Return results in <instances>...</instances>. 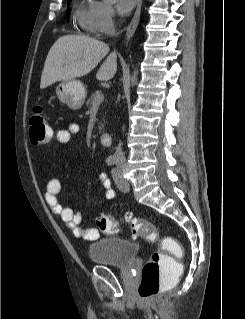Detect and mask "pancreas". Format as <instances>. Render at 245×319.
Instances as JSON below:
<instances>
[{
    "label": "pancreas",
    "mask_w": 245,
    "mask_h": 319,
    "mask_svg": "<svg viewBox=\"0 0 245 319\" xmlns=\"http://www.w3.org/2000/svg\"><path fill=\"white\" fill-rule=\"evenodd\" d=\"M100 93H101V91L97 90V91H95L93 94H91L90 98L87 100V103H86L88 107L91 106V104L93 103V101H94V99L96 98V96H97L98 94H100ZM103 127H104L103 124L99 125V130L102 131V130H103Z\"/></svg>",
    "instance_id": "1"
}]
</instances>
